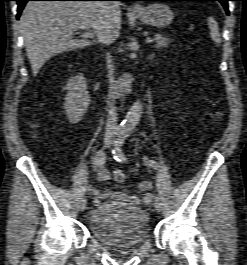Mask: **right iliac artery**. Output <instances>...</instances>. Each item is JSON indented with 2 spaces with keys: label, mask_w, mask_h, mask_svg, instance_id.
<instances>
[{
  "label": "right iliac artery",
  "mask_w": 247,
  "mask_h": 265,
  "mask_svg": "<svg viewBox=\"0 0 247 265\" xmlns=\"http://www.w3.org/2000/svg\"><path fill=\"white\" fill-rule=\"evenodd\" d=\"M106 162V155H105V152L103 150H99L96 154V157H95V164L97 166H102L104 165ZM100 203L99 199L95 198L93 200V205H98Z\"/></svg>",
  "instance_id": "82829eb1"
}]
</instances>
